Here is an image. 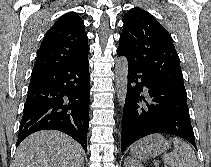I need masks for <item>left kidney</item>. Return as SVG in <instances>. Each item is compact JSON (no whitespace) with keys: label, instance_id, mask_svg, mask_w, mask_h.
I'll return each instance as SVG.
<instances>
[{"label":"left kidney","instance_id":"1","mask_svg":"<svg viewBox=\"0 0 211 167\" xmlns=\"http://www.w3.org/2000/svg\"><path fill=\"white\" fill-rule=\"evenodd\" d=\"M124 167H144L139 161L133 160L130 157L126 158Z\"/></svg>","mask_w":211,"mask_h":167}]
</instances>
